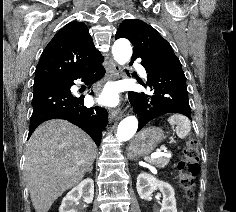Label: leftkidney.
I'll list each match as a JSON object with an SVG mask.
<instances>
[{"mask_svg": "<svg viewBox=\"0 0 236 212\" xmlns=\"http://www.w3.org/2000/svg\"><path fill=\"white\" fill-rule=\"evenodd\" d=\"M136 187L143 200H150L153 190L158 187L163 195L160 212H177L175 192L170 184L160 181L150 174L141 173L137 177Z\"/></svg>", "mask_w": 236, "mask_h": 212, "instance_id": "obj_1", "label": "left kidney"}]
</instances>
